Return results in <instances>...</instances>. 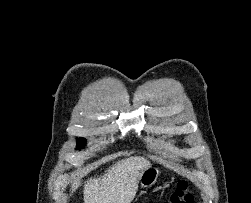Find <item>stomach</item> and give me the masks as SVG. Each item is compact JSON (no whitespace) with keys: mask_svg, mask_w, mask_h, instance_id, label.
<instances>
[{"mask_svg":"<svg viewBox=\"0 0 251 203\" xmlns=\"http://www.w3.org/2000/svg\"><path fill=\"white\" fill-rule=\"evenodd\" d=\"M160 171L158 168L155 167H148L144 172L142 173L139 183L142 188H151L157 181L159 177Z\"/></svg>","mask_w":251,"mask_h":203,"instance_id":"1","label":"stomach"}]
</instances>
